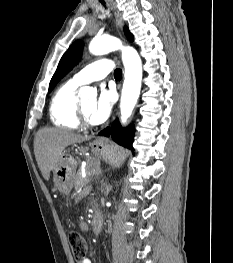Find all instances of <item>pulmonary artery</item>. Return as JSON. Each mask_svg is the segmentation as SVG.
<instances>
[{
    "label": "pulmonary artery",
    "instance_id": "obj_1",
    "mask_svg": "<svg viewBox=\"0 0 233 263\" xmlns=\"http://www.w3.org/2000/svg\"><path fill=\"white\" fill-rule=\"evenodd\" d=\"M113 67V63L110 59H99L78 71L73 76V81L79 85H85L93 81L101 80L113 71Z\"/></svg>",
    "mask_w": 233,
    "mask_h": 263
}]
</instances>
